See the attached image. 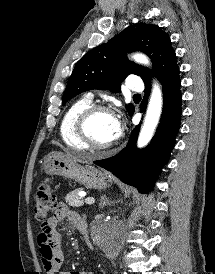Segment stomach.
Listing matches in <instances>:
<instances>
[{
	"instance_id": "obj_1",
	"label": "stomach",
	"mask_w": 215,
	"mask_h": 274,
	"mask_svg": "<svg viewBox=\"0 0 215 274\" xmlns=\"http://www.w3.org/2000/svg\"><path fill=\"white\" fill-rule=\"evenodd\" d=\"M46 174L73 179L88 188L105 189L110 186L109 176L93 166H82L69 155L51 152L43 163Z\"/></svg>"
}]
</instances>
